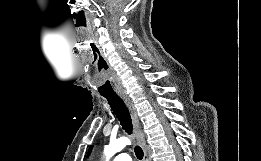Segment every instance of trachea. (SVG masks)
I'll use <instances>...</instances> for the list:
<instances>
[{"label":"trachea","mask_w":261,"mask_h":161,"mask_svg":"<svg viewBox=\"0 0 261 161\" xmlns=\"http://www.w3.org/2000/svg\"><path fill=\"white\" fill-rule=\"evenodd\" d=\"M103 96L107 99L111 109L113 110L114 114L116 115L120 124L122 125V128L128 134H131L132 130H133L132 120H131V116L128 111V108L126 107L123 100L118 95H103ZM134 152H135L136 157L139 160H142L143 150L141 149V147L136 146L134 148Z\"/></svg>","instance_id":"trachea-1"}]
</instances>
